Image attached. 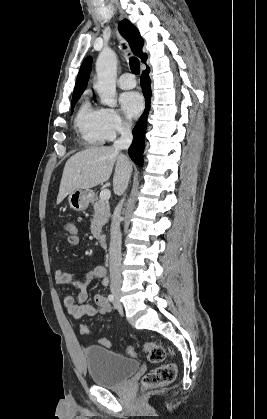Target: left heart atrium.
<instances>
[{
	"instance_id": "obj_1",
	"label": "left heart atrium",
	"mask_w": 267,
	"mask_h": 419,
	"mask_svg": "<svg viewBox=\"0 0 267 419\" xmlns=\"http://www.w3.org/2000/svg\"><path fill=\"white\" fill-rule=\"evenodd\" d=\"M119 101L122 111L130 118L138 116L144 106L142 95L135 91L122 93Z\"/></svg>"
}]
</instances>
